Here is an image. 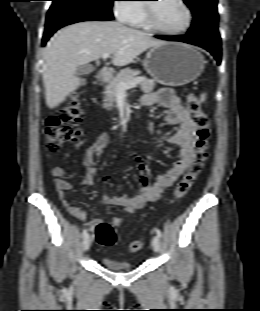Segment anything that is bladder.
I'll use <instances>...</instances> for the list:
<instances>
[{"mask_svg":"<svg viewBox=\"0 0 260 311\" xmlns=\"http://www.w3.org/2000/svg\"><path fill=\"white\" fill-rule=\"evenodd\" d=\"M98 259H99V262L104 267H106L110 270H115V271L131 270L135 267L134 264H132L130 262L117 260L116 258L109 256L105 253H101L99 255Z\"/></svg>","mask_w":260,"mask_h":311,"instance_id":"1","label":"bladder"}]
</instances>
